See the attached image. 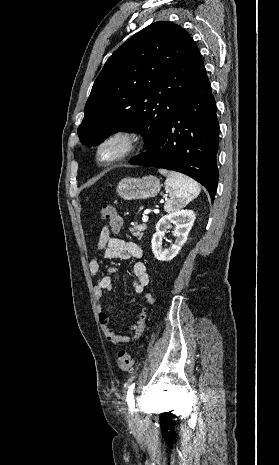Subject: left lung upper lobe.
Listing matches in <instances>:
<instances>
[{"mask_svg":"<svg viewBox=\"0 0 279 465\" xmlns=\"http://www.w3.org/2000/svg\"><path fill=\"white\" fill-rule=\"evenodd\" d=\"M202 62L195 41L172 22H155L134 34L94 82L78 128L81 145L133 131L150 148L178 113Z\"/></svg>","mask_w":279,"mask_h":465,"instance_id":"obj_1","label":"left lung upper lobe"}]
</instances>
